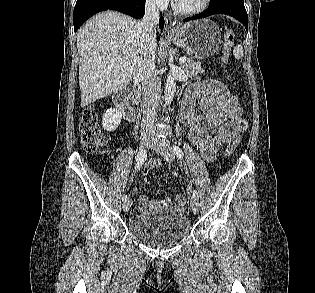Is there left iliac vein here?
<instances>
[{
  "label": "left iliac vein",
  "mask_w": 315,
  "mask_h": 293,
  "mask_svg": "<svg viewBox=\"0 0 315 293\" xmlns=\"http://www.w3.org/2000/svg\"><path fill=\"white\" fill-rule=\"evenodd\" d=\"M150 147L161 154V156L167 161V162H173L175 155L173 152V148L164 141H159L157 139H152V142L150 144ZM191 209L192 211L197 214L200 209V204L198 200L192 198L191 200Z\"/></svg>",
  "instance_id": "obj_1"
}]
</instances>
